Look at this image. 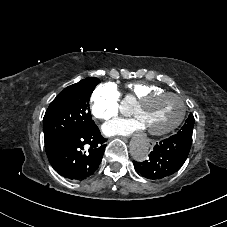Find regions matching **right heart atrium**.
I'll list each match as a JSON object with an SVG mask.
<instances>
[{
	"instance_id": "right-heart-atrium-1",
	"label": "right heart atrium",
	"mask_w": 227,
	"mask_h": 227,
	"mask_svg": "<svg viewBox=\"0 0 227 227\" xmlns=\"http://www.w3.org/2000/svg\"><path fill=\"white\" fill-rule=\"evenodd\" d=\"M92 114L101 121H111L117 117L120 92L113 83H102L91 95Z\"/></svg>"
}]
</instances>
